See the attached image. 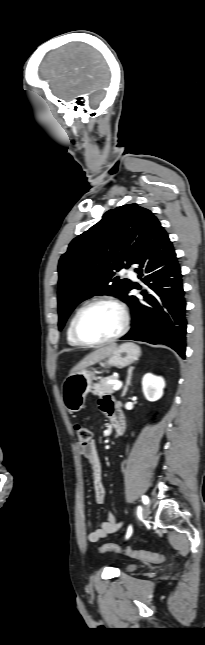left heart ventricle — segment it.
Instances as JSON below:
<instances>
[{
	"instance_id": "left-heart-ventricle-1",
	"label": "left heart ventricle",
	"mask_w": 205,
	"mask_h": 645,
	"mask_svg": "<svg viewBox=\"0 0 205 645\" xmlns=\"http://www.w3.org/2000/svg\"><path fill=\"white\" fill-rule=\"evenodd\" d=\"M121 326L119 311L109 304H97L84 310L79 318L78 330L88 341L106 339L115 334Z\"/></svg>"
}]
</instances>
